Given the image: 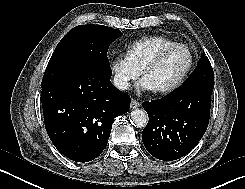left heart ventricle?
<instances>
[{"instance_id": "obj_1", "label": "left heart ventricle", "mask_w": 245, "mask_h": 189, "mask_svg": "<svg viewBox=\"0 0 245 189\" xmlns=\"http://www.w3.org/2000/svg\"><path fill=\"white\" fill-rule=\"evenodd\" d=\"M188 63V52L184 48H175L168 52L155 68L148 71L144 79L154 90H159L174 83L185 71Z\"/></svg>"}]
</instances>
